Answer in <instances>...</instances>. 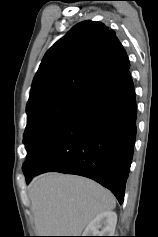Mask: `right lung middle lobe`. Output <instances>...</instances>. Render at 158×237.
Returning <instances> with one entry per match:
<instances>
[{
  "label": "right lung middle lobe",
  "mask_w": 158,
  "mask_h": 237,
  "mask_svg": "<svg viewBox=\"0 0 158 237\" xmlns=\"http://www.w3.org/2000/svg\"><path fill=\"white\" fill-rule=\"evenodd\" d=\"M83 102L72 97H54L26 108L24 144L27 156L23 170L27 168L41 143Z\"/></svg>",
  "instance_id": "1"
}]
</instances>
